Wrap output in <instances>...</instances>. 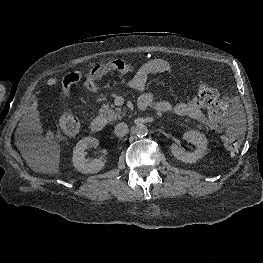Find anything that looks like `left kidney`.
Segmentation results:
<instances>
[{
	"label": "left kidney",
	"mask_w": 263,
	"mask_h": 263,
	"mask_svg": "<svg viewBox=\"0 0 263 263\" xmlns=\"http://www.w3.org/2000/svg\"><path fill=\"white\" fill-rule=\"evenodd\" d=\"M182 138L189 140L191 143L197 145L196 150L192 153H187L175 143L171 145V152L173 156L183 162L195 163L198 159L202 158L207 152L208 141L204 134L198 131H187L182 135Z\"/></svg>",
	"instance_id": "obj_1"
}]
</instances>
